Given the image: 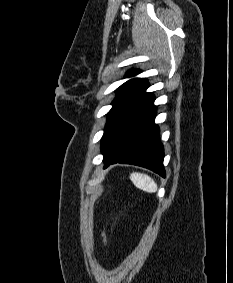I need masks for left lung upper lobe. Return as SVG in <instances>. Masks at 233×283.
<instances>
[{
	"label": "left lung upper lobe",
	"instance_id": "left-lung-upper-lobe-1",
	"mask_svg": "<svg viewBox=\"0 0 233 283\" xmlns=\"http://www.w3.org/2000/svg\"><path fill=\"white\" fill-rule=\"evenodd\" d=\"M138 73L139 70H131L128 72L127 77L135 76ZM147 86L148 82L145 78H134L125 82L116 90L117 95L112 103V109L108 112V120L101 146L116 128L123 116L133 107Z\"/></svg>",
	"mask_w": 233,
	"mask_h": 283
}]
</instances>
